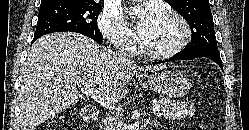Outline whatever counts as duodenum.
Masks as SVG:
<instances>
[{"mask_svg": "<svg viewBox=\"0 0 249 130\" xmlns=\"http://www.w3.org/2000/svg\"><path fill=\"white\" fill-rule=\"evenodd\" d=\"M97 109L94 106H87L82 112V121L84 124H88L96 118Z\"/></svg>", "mask_w": 249, "mask_h": 130, "instance_id": "obj_1", "label": "duodenum"}]
</instances>
